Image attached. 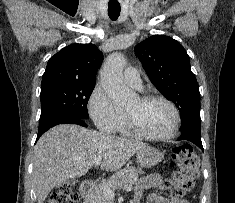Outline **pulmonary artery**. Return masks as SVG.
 Segmentation results:
<instances>
[{
	"mask_svg": "<svg viewBox=\"0 0 235 203\" xmlns=\"http://www.w3.org/2000/svg\"><path fill=\"white\" fill-rule=\"evenodd\" d=\"M124 81L129 86L141 90L142 89V81L138 71L133 67H128L124 71Z\"/></svg>",
	"mask_w": 235,
	"mask_h": 203,
	"instance_id": "pulmonary-artery-1",
	"label": "pulmonary artery"
}]
</instances>
